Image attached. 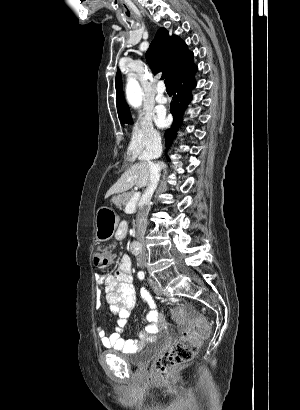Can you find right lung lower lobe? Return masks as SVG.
I'll list each match as a JSON object with an SVG mask.
<instances>
[{
    "label": "right lung lower lobe",
    "instance_id": "98d812e1",
    "mask_svg": "<svg viewBox=\"0 0 300 410\" xmlns=\"http://www.w3.org/2000/svg\"><path fill=\"white\" fill-rule=\"evenodd\" d=\"M196 71L197 66L192 61L187 68L181 71L171 81L175 96L170 104V112L173 115V123L171 128L165 132L167 148H169L172 144L178 128L182 125L183 113L192 99L190 89L196 86V82L194 81V74Z\"/></svg>",
    "mask_w": 300,
    "mask_h": 410
}]
</instances>
